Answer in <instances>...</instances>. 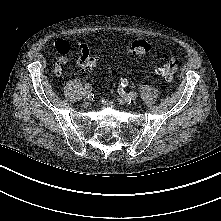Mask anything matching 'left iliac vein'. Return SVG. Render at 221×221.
<instances>
[{
    "label": "left iliac vein",
    "instance_id": "1",
    "mask_svg": "<svg viewBox=\"0 0 221 221\" xmlns=\"http://www.w3.org/2000/svg\"><path fill=\"white\" fill-rule=\"evenodd\" d=\"M128 97L131 100H135L137 98V93L135 91H131V92L128 93Z\"/></svg>",
    "mask_w": 221,
    "mask_h": 221
}]
</instances>
